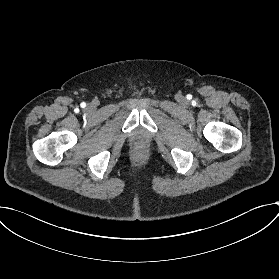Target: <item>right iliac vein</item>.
Here are the masks:
<instances>
[{"label":"right iliac vein","mask_w":279,"mask_h":279,"mask_svg":"<svg viewBox=\"0 0 279 279\" xmlns=\"http://www.w3.org/2000/svg\"><path fill=\"white\" fill-rule=\"evenodd\" d=\"M90 109H93V105H89V106L87 107V110H90Z\"/></svg>","instance_id":"obj_1"}]
</instances>
